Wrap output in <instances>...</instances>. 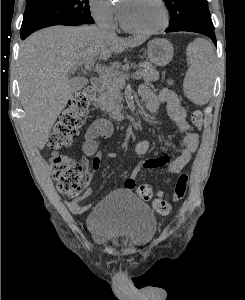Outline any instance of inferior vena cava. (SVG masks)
Masks as SVG:
<instances>
[{
	"mask_svg": "<svg viewBox=\"0 0 245 300\" xmlns=\"http://www.w3.org/2000/svg\"><path fill=\"white\" fill-rule=\"evenodd\" d=\"M99 28H100L101 31H106V29L103 25H99Z\"/></svg>",
	"mask_w": 245,
	"mask_h": 300,
	"instance_id": "obj_1",
	"label": "inferior vena cava"
}]
</instances>
